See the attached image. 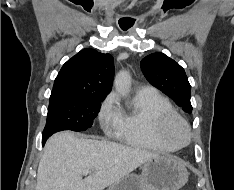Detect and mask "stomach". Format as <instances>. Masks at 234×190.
I'll use <instances>...</instances> for the list:
<instances>
[{"instance_id": "1", "label": "stomach", "mask_w": 234, "mask_h": 190, "mask_svg": "<svg viewBox=\"0 0 234 190\" xmlns=\"http://www.w3.org/2000/svg\"><path fill=\"white\" fill-rule=\"evenodd\" d=\"M185 166L173 156H158L144 163L141 175L127 174L107 190H179L188 181Z\"/></svg>"}]
</instances>
